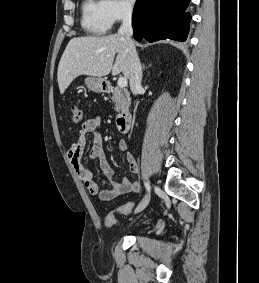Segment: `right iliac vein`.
I'll return each mask as SVG.
<instances>
[{"instance_id": "63e3f726", "label": "right iliac vein", "mask_w": 259, "mask_h": 283, "mask_svg": "<svg viewBox=\"0 0 259 283\" xmlns=\"http://www.w3.org/2000/svg\"><path fill=\"white\" fill-rule=\"evenodd\" d=\"M149 200H150V195H147V196L142 200V202L136 207L135 213H139V212L143 211V210L147 207V205H148V203H149Z\"/></svg>"}]
</instances>
